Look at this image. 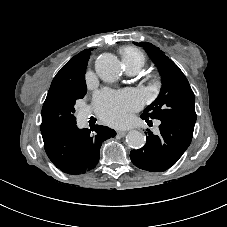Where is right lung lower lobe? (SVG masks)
Listing matches in <instances>:
<instances>
[{"mask_svg":"<svg viewBox=\"0 0 227 227\" xmlns=\"http://www.w3.org/2000/svg\"><path fill=\"white\" fill-rule=\"evenodd\" d=\"M115 135L116 132L106 126L96 125L88 130L79 129L75 124L43 138L44 149L51 162L64 173L84 174L96 167L102 142Z\"/></svg>","mask_w":227,"mask_h":227,"instance_id":"obj_1","label":"right lung lower lobe"}]
</instances>
